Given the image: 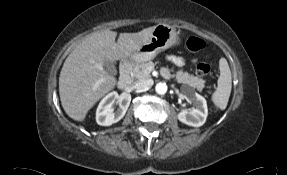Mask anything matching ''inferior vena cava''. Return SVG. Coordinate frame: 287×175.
Returning a JSON list of instances; mask_svg holds the SVG:
<instances>
[{"label": "inferior vena cava", "mask_w": 287, "mask_h": 175, "mask_svg": "<svg viewBox=\"0 0 287 175\" xmlns=\"http://www.w3.org/2000/svg\"><path fill=\"white\" fill-rule=\"evenodd\" d=\"M152 85H153L152 79H141L134 83V88L136 90H146Z\"/></svg>", "instance_id": "obj_1"}]
</instances>
